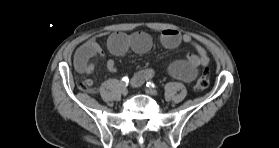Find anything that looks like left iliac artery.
I'll list each match as a JSON object with an SVG mask.
<instances>
[{"mask_svg":"<svg viewBox=\"0 0 279 148\" xmlns=\"http://www.w3.org/2000/svg\"><path fill=\"white\" fill-rule=\"evenodd\" d=\"M146 86L149 87V88H155L156 87L155 84L153 82H150V81L146 83Z\"/></svg>","mask_w":279,"mask_h":148,"instance_id":"1","label":"left iliac artery"}]
</instances>
